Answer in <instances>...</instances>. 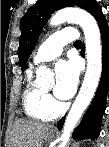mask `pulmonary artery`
<instances>
[{"mask_svg": "<svg viewBox=\"0 0 109 147\" xmlns=\"http://www.w3.org/2000/svg\"><path fill=\"white\" fill-rule=\"evenodd\" d=\"M79 40V35L73 31H61L49 36L38 48L33 57V65L51 61L61 55L63 46Z\"/></svg>", "mask_w": 109, "mask_h": 147, "instance_id": "obj_1", "label": "pulmonary artery"}]
</instances>
